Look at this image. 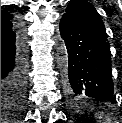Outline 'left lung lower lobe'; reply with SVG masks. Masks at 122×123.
<instances>
[{"mask_svg": "<svg viewBox=\"0 0 122 123\" xmlns=\"http://www.w3.org/2000/svg\"><path fill=\"white\" fill-rule=\"evenodd\" d=\"M60 32L65 44L63 83L69 99L113 102L107 37L66 14L61 18Z\"/></svg>", "mask_w": 122, "mask_h": 123, "instance_id": "left-lung-lower-lobe-1", "label": "left lung lower lobe"}]
</instances>
